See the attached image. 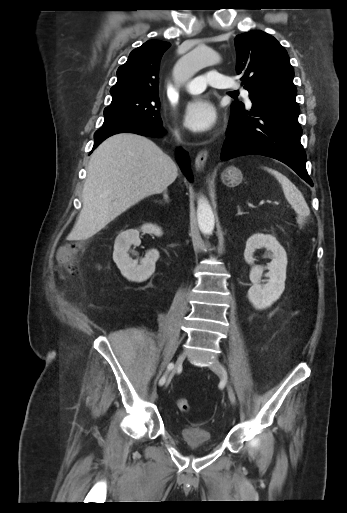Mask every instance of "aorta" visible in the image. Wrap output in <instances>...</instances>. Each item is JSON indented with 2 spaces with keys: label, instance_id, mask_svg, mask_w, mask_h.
<instances>
[{
  "label": "aorta",
  "instance_id": "1",
  "mask_svg": "<svg viewBox=\"0 0 347 513\" xmlns=\"http://www.w3.org/2000/svg\"><path fill=\"white\" fill-rule=\"evenodd\" d=\"M220 62L221 58L216 52L205 45H199L177 61L173 76L177 83L183 84L204 67L216 65ZM197 220L199 228L204 234L209 235L213 232L215 226L214 214L208 200L204 197L198 200Z\"/></svg>",
  "mask_w": 347,
  "mask_h": 513
}]
</instances>
